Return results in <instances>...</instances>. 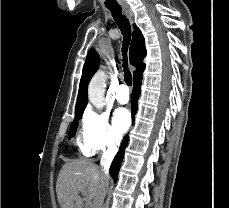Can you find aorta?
Listing matches in <instances>:
<instances>
[{"mask_svg":"<svg viewBox=\"0 0 229 208\" xmlns=\"http://www.w3.org/2000/svg\"><path fill=\"white\" fill-rule=\"evenodd\" d=\"M107 76L99 70L91 79L88 86V99L98 109L105 105L104 95Z\"/></svg>","mask_w":229,"mask_h":208,"instance_id":"obj_1","label":"aorta"}]
</instances>
